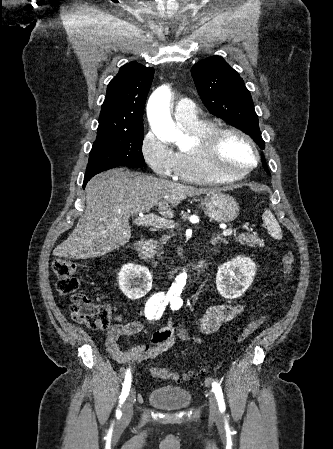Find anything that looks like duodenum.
Returning <instances> with one entry per match:
<instances>
[{
    "label": "duodenum",
    "mask_w": 333,
    "mask_h": 449,
    "mask_svg": "<svg viewBox=\"0 0 333 449\" xmlns=\"http://www.w3.org/2000/svg\"><path fill=\"white\" fill-rule=\"evenodd\" d=\"M157 248V241L155 239H145L141 241L137 247V252L139 258L144 262H149L153 257ZM207 267V262L205 259H199L194 265V271L200 273Z\"/></svg>",
    "instance_id": "obj_1"
}]
</instances>
